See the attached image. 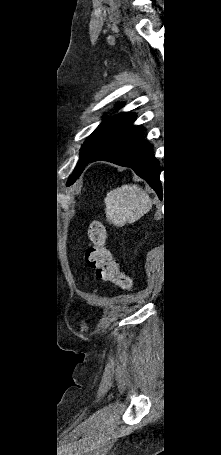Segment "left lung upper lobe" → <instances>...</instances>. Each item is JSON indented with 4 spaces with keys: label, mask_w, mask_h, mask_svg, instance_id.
Returning a JSON list of instances; mask_svg holds the SVG:
<instances>
[{
    "label": "left lung upper lobe",
    "mask_w": 221,
    "mask_h": 455,
    "mask_svg": "<svg viewBox=\"0 0 221 455\" xmlns=\"http://www.w3.org/2000/svg\"><path fill=\"white\" fill-rule=\"evenodd\" d=\"M121 106L116 105L115 107L119 108ZM135 119V113L127 112L104 119L82 145L80 149V160L73 174L69 177L68 184H72L80 176L85 166L103 147L132 126Z\"/></svg>",
    "instance_id": "left-lung-upper-lobe-1"
}]
</instances>
